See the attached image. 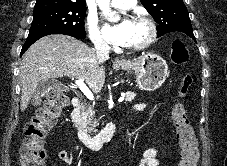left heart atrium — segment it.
<instances>
[{
    "instance_id": "1",
    "label": "left heart atrium",
    "mask_w": 227,
    "mask_h": 166,
    "mask_svg": "<svg viewBox=\"0 0 227 166\" xmlns=\"http://www.w3.org/2000/svg\"><path fill=\"white\" fill-rule=\"evenodd\" d=\"M131 23L129 19L121 20L118 23H107L105 32L108 38L115 43H125L130 35Z\"/></svg>"
}]
</instances>
